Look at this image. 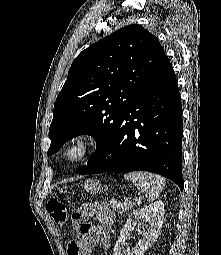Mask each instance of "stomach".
Listing matches in <instances>:
<instances>
[{
  "mask_svg": "<svg viewBox=\"0 0 221 255\" xmlns=\"http://www.w3.org/2000/svg\"><path fill=\"white\" fill-rule=\"evenodd\" d=\"M84 188L85 191L88 192L89 194H97L101 192L102 185L98 180L89 179L86 180Z\"/></svg>",
  "mask_w": 221,
  "mask_h": 255,
  "instance_id": "0dacf381",
  "label": "stomach"
}]
</instances>
